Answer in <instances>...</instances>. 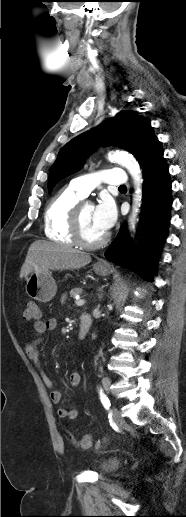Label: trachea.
<instances>
[{
	"mask_svg": "<svg viewBox=\"0 0 186 517\" xmlns=\"http://www.w3.org/2000/svg\"><path fill=\"white\" fill-rule=\"evenodd\" d=\"M119 188H121V189H122V188H126V186H125V185H121V186H119Z\"/></svg>",
	"mask_w": 186,
	"mask_h": 517,
	"instance_id": "3493384b",
	"label": "trachea"
}]
</instances>
